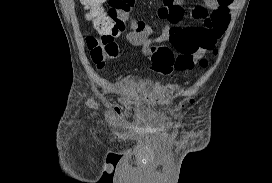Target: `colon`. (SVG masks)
<instances>
[{"label": "colon", "instance_id": "colon-1", "mask_svg": "<svg viewBox=\"0 0 272 183\" xmlns=\"http://www.w3.org/2000/svg\"><path fill=\"white\" fill-rule=\"evenodd\" d=\"M103 0H81L96 35L89 34L86 38L91 59L101 67L106 59L117 55L115 36L125 29L127 17L135 0H109V8H102ZM154 71L164 75L176 69L174 51L168 46H152L148 54ZM207 59L198 61L200 67H206Z\"/></svg>", "mask_w": 272, "mask_h": 183}]
</instances>
